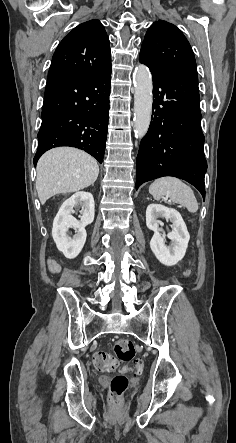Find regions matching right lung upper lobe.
Wrapping results in <instances>:
<instances>
[{"instance_id":"1","label":"right lung upper lobe","mask_w":236,"mask_h":443,"mask_svg":"<svg viewBox=\"0 0 236 443\" xmlns=\"http://www.w3.org/2000/svg\"><path fill=\"white\" fill-rule=\"evenodd\" d=\"M111 67L109 39L99 20L75 27L55 50L48 77L93 75Z\"/></svg>"}]
</instances>
